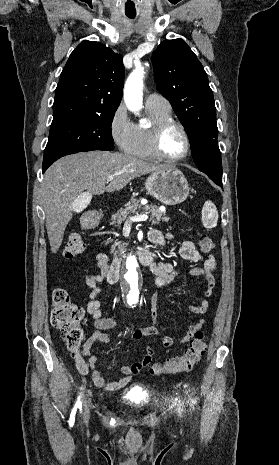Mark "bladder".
<instances>
[{
    "label": "bladder",
    "instance_id": "31cf9c89",
    "mask_svg": "<svg viewBox=\"0 0 279 465\" xmlns=\"http://www.w3.org/2000/svg\"><path fill=\"white\" fill-rule=\"evenodd\" d=\"M124 400L134 406L142 405L147 400V394L141 387H133L124 393Z\"/></svg>",
    "mask_w": 279,
    "mask_h": 465
}]
</instances>
